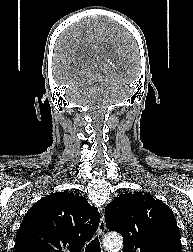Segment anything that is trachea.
<instances>
[{
    "instance_id": "1",
    "label": "trachea",
    "mask_w": 193,
    "mask_h": 252,
    "mask_svg": "<svg viewBox=\"0 0 193 252\" xmlns=\"http://www.w3.org/2000/svg\"><path fill=\"white\" fill-rule=\"evenodd\" d=\"M85 252H100V242L96 236L85 248Z\"/></svg>"
}]
</instances>
